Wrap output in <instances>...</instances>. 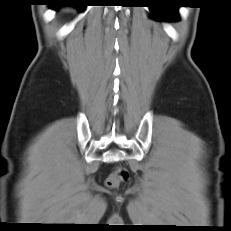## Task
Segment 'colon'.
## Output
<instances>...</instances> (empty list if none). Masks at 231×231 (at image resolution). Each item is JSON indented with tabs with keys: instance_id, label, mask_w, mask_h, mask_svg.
Listing matches in <instances>:
<instances>
[{
	"instance_id": "1",
	"label": "colon",
	"mask_w": 231,
	"mask_h": 231,
	"mask_svg": "<svg viewBox=\"0 0 231 231\" xmlns=\"http://www.w3.org/2000/svg\"><path fill=\"white\" fill-rule=\"evenodd\" d=\"M128 174L126 170L118 168L113 173L109 175L106 180V184L109 187H116L118 186L123 180L127 178Z\"/></svg>"
}]
</instances>
